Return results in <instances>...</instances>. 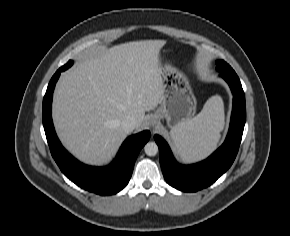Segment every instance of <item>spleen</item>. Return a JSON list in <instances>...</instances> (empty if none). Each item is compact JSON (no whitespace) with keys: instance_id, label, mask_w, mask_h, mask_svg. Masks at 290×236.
<instances>
[{"instance_id":"1","label":"spleen","mask_w":290,"mask_h":236,"mask_svg":"<svg viewBox=\"0 0 290 236\" xmlns=\"http://www.w3.org/2000/svg\"><path fill=\"white\" fill-rule=\"evenodd\" d=\"M224 104L220 96L209 98L194 118L171 129V137L179 156L194 162L208 156L217 146L225 124Z\"/></svg>"}]
</instances>
